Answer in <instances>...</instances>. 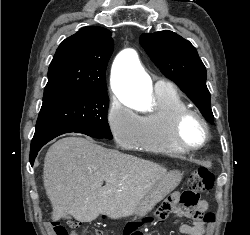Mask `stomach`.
Instances as JSON below:
<instances>
[{"mask_svg":"<svg viewBox=\"0 0 250 235\" xmlns=\"http://www.w3.org/2000/svg\"><path fill=\"white\" fill-rule=\"evenodd\" d=\"M183 174L179 171H171L165 174L155 186L139 201L135 210V217H143L154 206L171 193L181 182Z\"/></svg>","mask_w":250,"mask_h":235,"instance_id":"obj_1","label":"stomach"}]
</instances>
